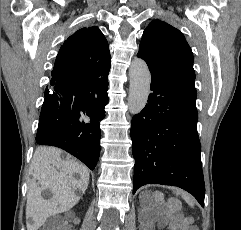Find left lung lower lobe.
Masks as SVG:
<instances>
[{"label":"left lung lower lobe","instance_id":"1","mask_svg":"<svg viewBox=\"0 0 241 230\" xmlns=\"http://www.w3.org/2000/svg\"><path fill=\"white\" fill-rule=\"evenodd\" d=\"M148 104L132 118L133 193L146 184L173 185L204 207L195 87L151 74Z\"/></svg>","mask_w":241,"mask_h":230}]
</instances>
